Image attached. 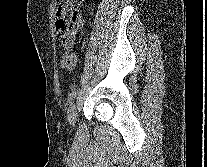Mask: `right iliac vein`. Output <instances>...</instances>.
I'll return each mask as SVG.
<instances>
[{
    "label": "right iliac vein",
    "instance_id": "obj_1",
    "mask_svg": "<svg viewBox=\"0 0 207 167\" xmlns=\"http://www.w3.org/2000/svg\"><path fill=\"white\" fill-rule=\"evenodd\" d=\"M76 119H77V105L76 103H72L68 111V120L72 127L75 125Z\"/></svg>",
    "mask_w": 207,
    "mask_h": 167
}]
</instances>
